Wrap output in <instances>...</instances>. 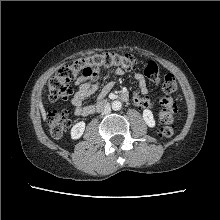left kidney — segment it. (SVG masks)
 <instances>
[{"mask_svg":"<svg viewBox=\"0 0 220 220\" xmlns=\"http://www.w3.org/2000/svg\"><path fill=\"white\" fill-rule=\"evenodd\" d=\"M143 119L148 127H155V120L151 110L145 109L143 110Z\"/></svg>","mask_w":220,"mask_h":220,"instance_id":"obj_1","label":"left kidney"}]
</instances>
